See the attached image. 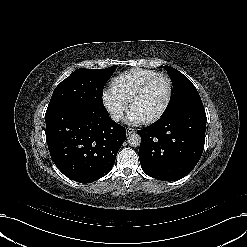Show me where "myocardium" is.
Listing matches in <instances>:
<instances>
[{"label": "myocardium", "instance_id": "f54148a6", "mask_svg": "<svg viewBox=\"0 0 247 247\" xmlns=\"http://www.w3.org/2000/svg\"><path fill=\"white\" fill-rule=\"evenodd\" d=\"M160 79L165 80V82L167 84V94H166L165 100H164L161 108L159 109V111L150 115L147 118H144L145 123H151V122L155 121L156 119L160 118L165 113L167 108L169 107L171 99H172V94H173V85H172L170 78L166 74H163V73H160V74L153 76L152 78H150L149 80L144 82L139 87V89L133 95L132 99L129 101V110H130V112H134V107H135L136 102L141 98V96L146 91V89L149 86H151L155 81L160 80Z\"/></svg>", "mask_w": 247, "mask_h": 247}]
</instances>
